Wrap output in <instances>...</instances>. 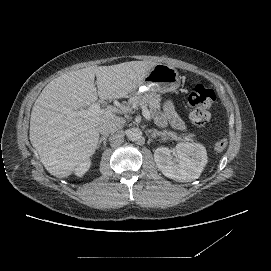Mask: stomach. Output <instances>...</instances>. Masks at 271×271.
Here are the masks:
<instances>
[{
	"label": "stomach",
	"mask_w": 271,
	"mask_h": 271,
	"mask_svg": "<svg viewBox=\"0 0 271 271\" xmlns=\"http://www.w3.org/2000/svg\"><path fill=\"white\" fill-rule=\"evenodd\" d=\"M179 72L169 64L157 63L137 86L139 92L175 93L180 87Z\"/></svg>",
	"instance_id": "0dacf381"
}]
</instances>
